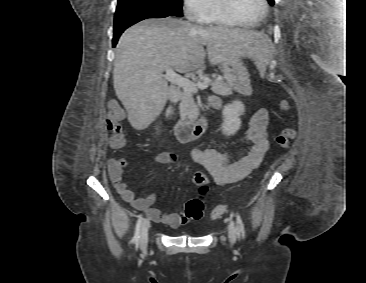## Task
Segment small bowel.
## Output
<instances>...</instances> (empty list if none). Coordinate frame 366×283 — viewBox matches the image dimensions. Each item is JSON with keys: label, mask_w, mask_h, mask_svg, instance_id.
Returning a JSON list of instances; mask_svg holds the SVG:
<instances>
[{"label": "small bowel", "mask_w": 366, "mask_h": 283, "mask_svg": "<svg viewBox=\"0 0 366 283\" xmlns=\"http://www.w3.org/2000/svg\"><path fill=\"white\" fill-rule=\"evenodd\" d=\"M210 101L215 108H221L222 102L219 98L211 97ZM269 113L261 108L255 111L249 121L246 133L247 141L251 148L247 155L236 159L228 152H220L215 149L195 148L190 152L191 160L205 168L217 185H229L241 181L251 174L262 162L268 151L267 128ZM177 155L173 152H161L154 161L160 164H172L176 162ZM110 179L119 193L127 203L135 209L141 210L153 221L165 224L171 228H177L186 222V219L177 213H163L161 210L152 208L156 200L154 193L144 198H135L132 190L123 182V173L126 161L122 158H110L107 162Z\"/></svg>", "instance_id": "c3829d8e"}]
</instances>
